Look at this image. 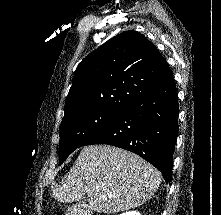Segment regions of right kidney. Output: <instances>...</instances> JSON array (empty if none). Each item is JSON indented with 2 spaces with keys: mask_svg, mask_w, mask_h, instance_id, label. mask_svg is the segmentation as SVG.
Instances as JSON below:
<instances>
[{
  "mask_svg": "<svg viewBox=\"0 0 221 215\" xmlns=\"http://www.w3.org/2000/svg\"><path fill=\"white\" fill-rule=\"evenodd\" d=\"M120 215H141V214L138 211H128V212L122 213Z\"/></svg>",
  "mask_w": 221,
  "mask_h": 215,
  "instance_id": "obj_1",
  "label": "right kidney"
}]
</instances>
